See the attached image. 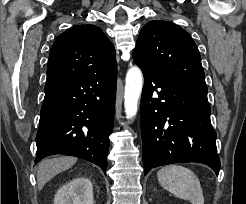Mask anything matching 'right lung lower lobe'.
<instances>
[{
	"label": "right lung lower lobe",
	"mask_w": 246,
	"mask_h": 204,
	"mask_svg": "<svg viewBox=\"0 0 246 204\" xmlns=\"http://www.w3.org/2000/svg\"><path fill=\"white\" fill-rule=\"evenodd\" d=\"M116 81L117 70L46 83L35 164L46 156L64 154L88 160L106 172Z\"/></svg>",
	"instance_id": "1"
}]
</instances>
